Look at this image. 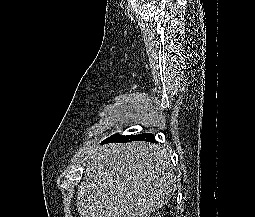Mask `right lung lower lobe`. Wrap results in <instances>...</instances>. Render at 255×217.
Returning <instances> with one entry per match:
<instances>
[{"instance_id":"1","label":"right lung lower lobe","mask_w":255,"mask_h":217,"mask_svg":"<svg viewBox=\"0 0 255 217\" xmlns=\"http://www.w3.org/2000/svg\"><path fill=\"white\" fill-rule=\"evenodd\" d=\"M147 141V142H155V138L152 134L150 133H144V134H139V135H119L115 134L110 137H108L106 140H104L102 143H111V142H119V143H124V142H131V141Z\"/></svg>"}]
</instances>
